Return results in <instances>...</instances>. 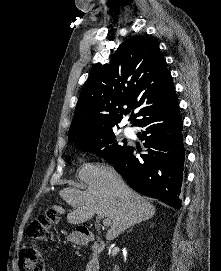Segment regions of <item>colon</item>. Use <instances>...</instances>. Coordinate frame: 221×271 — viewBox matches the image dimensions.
I'll use <instances>...</instances> for the list:
<instances>
[{"label": "colon", "instance_id": "5ec220e1", "mask_svg": "<svg viewBox=\"0 0 221 271\" xmlns=\"http://www.w3.org/2000/svg\"><path fill=\"white\" fill-rule=\"evenodd\" d=\"M57 213L49 209L39 215L29 227V235L37 241L52 237L51 225L57 223ZM18 267L20 271H45V264L39 250L31 244H21L18 250Z\"/></svg>", "mask_w": 221, "mask_h": 271}]
</instances>
